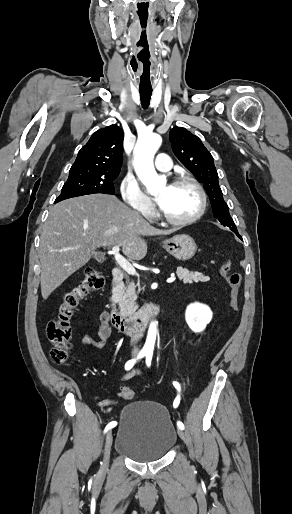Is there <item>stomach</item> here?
Returning a JSON list of instances; mask_svg holds the SVG:
<instances>
[{
    "label": "stomach",
    "instance_id": "obj_1",
    "mask_svg": "<svg viewBox=\"0 0 292 514\" xmlns=\"http://www.w3.org/2000/svg\"><path fill=\"white\" fill-rule=\"evenodd\" d=\"M166 252H169L171 256H174L176 260H190L192 256H194L197 246L190 236L187 234H178V236H173V238H169V240H165L163 242Z\"/></svg>",
    "mask_w": 292,
    "mask_h": 514
}]
</instances>
